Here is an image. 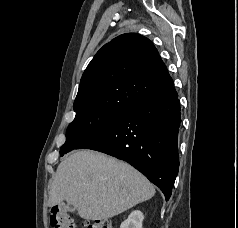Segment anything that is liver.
Returning <instances> with one entry per match:
<instances>
[{
    "label": "liver",
    "instance_id": "liver-1",
    "mask_svg": "<svg viewBox=\"0 0 238 228\" xmlns=\"http://www.w3.org/2000/svg\"><path fill=\"white\" fill-rule=\"evenodd\" d=\"M154 186L129 164L102 153L74 152L58 166L49 206L63 201L85 220L114 217L152 198Z\"/></svg>",
    "mask_w": 238,
    "mask_h": 228
}]
</instances>
